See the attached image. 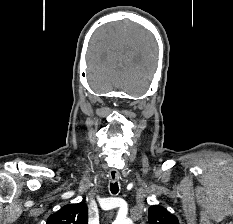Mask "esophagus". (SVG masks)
I'll return each mask as SVG.
<instances>
[{"instance_id":"esophagus-1","label":"esophagus","mask_w":233,"mask_h":224,"mask_svg":"<svg viewBox=\"0 0 233 224\" xmlns=\"http://www.w3.org/2000/svg\"><path fill=\"white\" fill-rule=\"evenodd\" d=\"M109 176H110V181L111 182H116L120 179V173L117 170H110L109 172Z\"/></svg>"}]
</instances>
